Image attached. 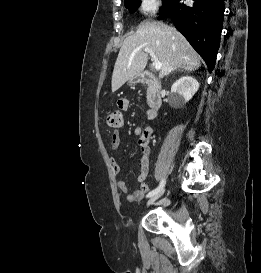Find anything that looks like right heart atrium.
<instances>
[{
	"instance_id": "obj_1",
	"label": "right heart atrium",
	"mask_w": 261,
	"mask_h": 273,
	"mask_svg": "<svg viewBox=\"0 0 261 273\" xmlns=\"http://www.w3.org/2000/svg\"><path fill=\"white\" fill-rule=\"evenodd\" d=\"M159 7V0H140L139 1V9L145 14H151L155 12Z\"/></svg>"
}]
</instances>
